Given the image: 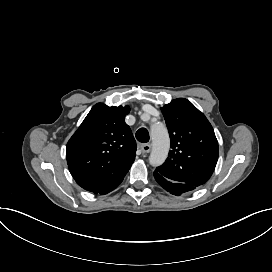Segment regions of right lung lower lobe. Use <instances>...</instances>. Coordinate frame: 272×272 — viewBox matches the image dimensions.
Instances as JSON below:
<instances>
[{
	"label": "right lung lower lobe",
	"mask_w": 272,
	"mask_h": 272,
	"mask_svg": "<svg viewBox=\"0 0 272 272\" xmlns=\"http://www.w3.org/2000/svg\"><path fill=\"white\" fill-rule=\"evenodd\" d=\"M114 189H115V188H114ZM114 189H113V190H114ZM111 191H112V190H111ZM108 192H110V191H108ZM108 192H106L105 194H107ZM101 195H104V194H101Z\"/></svg>",
	"instance_id": "1"
}]
</instances>
